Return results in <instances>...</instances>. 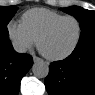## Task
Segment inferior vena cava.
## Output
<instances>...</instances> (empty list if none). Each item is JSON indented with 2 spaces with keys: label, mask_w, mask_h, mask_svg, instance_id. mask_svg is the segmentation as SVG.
<instances>
[{
  "label": "inferior vena cava",
  "mask_w": 95,
  "mask_h": 95,
  "mask_svg": "<svg viewBox=\"0 0 95 95\" xmlns=\"http://www.w3.org/2000/svg\"><path fill=\"white\" fill-rule=\"evenodd\" d=\"M13 48L18 53H25L27 51L26 46L23 43L18 41L13 42Z\"/></svg>",
  "instance_id": "602c4592"
}]
</instances>
